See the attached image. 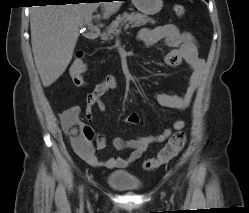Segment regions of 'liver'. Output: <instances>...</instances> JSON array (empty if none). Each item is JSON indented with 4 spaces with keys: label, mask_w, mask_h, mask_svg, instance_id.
Here are the masks:
<instances>
[{
    "label": "liver",
    "mask_w": 249,
    "mask_h": 213,
    "mask_svg": "<svg viewBox=\"0 0 249 213\" xmlns=\"http://www.w3.org/2000/svg\"><path fill=\"white\" fill-rule=\"evenodd\" d=\"M102 3L104 17L116 12L122 3L93 2L33 6L31 8V44L35 65L44 87L53 84L71 62L84 20Z\"/></svg>",
    "instance_id": "6515ba94"
}]
</instances>
